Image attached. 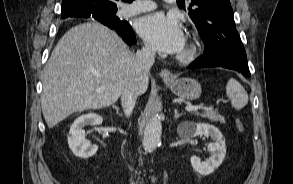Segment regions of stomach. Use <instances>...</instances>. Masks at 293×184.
<instances>
[{"label":"stomach","mask_w":293,"mask_h":184,"mask_svg":"<svg viewBox=\"0 0 293 184\" xmlns=\"http://www.w3.org/2000/svg\"><path fill=\"white\" fill-rule=\"evenodd\" d=\"M171 91L182 99L195 100L201 95L200 83L192 78H178L171 81H165Z\"/></svg>","instance_id":"obj_1"}]
</instances>
